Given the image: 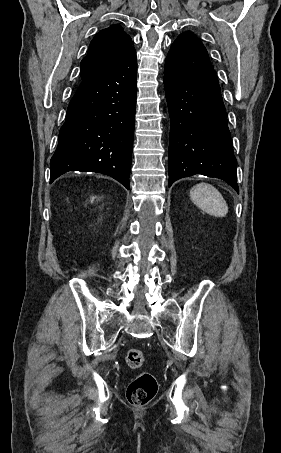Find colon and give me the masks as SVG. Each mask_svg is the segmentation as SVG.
<instances>
[{
	"mask_svg": "<svg viewBox=\"0 0 281 453\" xmlns=\"http://www.w3.org/2000/svg\"><path fill=\"white\" fill-rule=\"evenodd\" d=\"M124 363L131 369L139 370L146 364L145 357L140 350H129L123 355ZM158 382L151 373H139L134 375L126 392L130 404L141 406L149 403L156 395Z\"/></svg>",
	"mask_w": 281,
	"mask_h": 453,
	"instance_id": "obj_1",
	"label": "colon"
}]
</instances>
